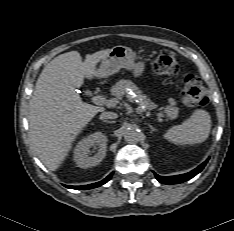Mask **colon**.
Here are the masks:
<instances>
[{
    "label": "colon",
    "mask_w": 234,
    "mask_h": 231,
    "mask_svg": "<svg viewBox=\"0 0 234 231\" xmlns=\"http://www.w3.org/2000/svg\"><path fill=\"white\" fill-rule=\"evenodd\" d=\"M152 69L158 75H176L180 65L171 51L163 50L153 59ZM181 101L187 107L204 106L208 103V93L196 75L187 74L184 77Z\"/></svg>",
    "instance_id": "obj_1"
}]
</instances>
